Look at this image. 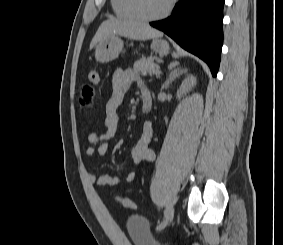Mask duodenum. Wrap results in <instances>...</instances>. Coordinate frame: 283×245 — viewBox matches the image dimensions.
Returning a JSON list of instances; mask_svg holds the SVG:
<instances>
[{
  "label": "duodenum",
  "mask_w": 283,
  "mask_h": 245,
  "mask_svg": "<svg viewBox=\"0 0 283 245\" xmlns=\"http://www.w3.org/2000/svg\"><path fill=\"white\" fill-rule=\"evenodd\" d=\"M143 111L148 113L151 111L152 108V97L149 94L143 95V105H142Z\"/></svg>",
  "instance_id": "obj_1"
}]
</instances>
